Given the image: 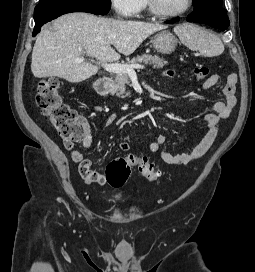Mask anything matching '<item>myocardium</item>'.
<instances>
[{"instance_id":"f54148a6","label":"myocardium","mask_w":255,"mask_h":272,"mask_svg":"<svg viewBox=\"0 0 255 272\" xmlns=\"http://www.w3.org/2000/svg\"><path fill=\"white\" fill-rule=\"evenodd\" d=\"M145 2H146V7L151 15H153L154 17L163 18V19H172V18L180 17L184 15L185 13H187L193 5V0H187V5L182 10L168 13L158 8L156 0H145Z\"/></svg>"}]
</instances>
